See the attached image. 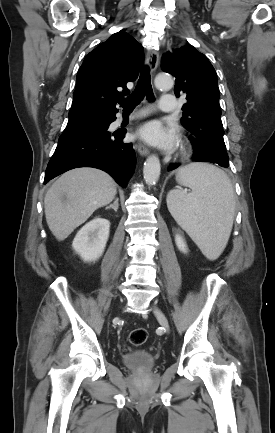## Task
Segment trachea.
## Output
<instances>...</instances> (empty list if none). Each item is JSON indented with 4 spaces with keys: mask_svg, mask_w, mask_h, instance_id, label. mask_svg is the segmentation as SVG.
Segmentation results:
<instances>
[{
    "mask_svg": "<svg viewBox=\"0 0 275 433\" xmlns=\"http://www.w3.org/2000/svg\"><path fill=\"white\" fill-rule=\"evenodd\" d=\"M145 96L149 101L154 100L151 77L147 66L142 70L134 92L128 98L122 100V107L127 111H132Z\"/></svg>",
    "mask_w": 275,
    "mask_h": 433,
    "instance_id": "1",
    "label": "trachea"
}]
</instances>
